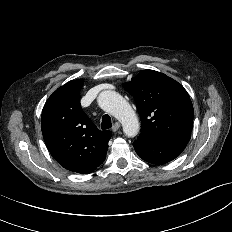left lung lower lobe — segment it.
I'll list each match as a JSON object with an SVG mask.
<instances>
[{
	"label": "left lung lower lobe",
	"mask_w": 232,
	"mask_h": 232,
	"mask_svg": "<svg viewBox=\"0 0 232 232\" xmlns=\"http://www.w3.org/2000/svg\"><path fill=\"white\" fill-rule=\"evenodd\" d=\"M188 140L166 139L158 141L135 140L136 153L145 161L153 164H165L178 157L185 149Z\"/></svg>",
	"instance_id": "obj_1"
}]
</instances>
